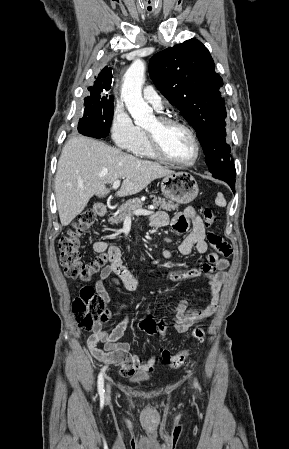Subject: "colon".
<instances>
[{"mask_svg": "<svg viewBox=\"0 0 289 449\" xmlns=\"http://www.w3.org/2000/svg\"><path fill=\"white\" fill-rule=\"evenodd\" d=\"M95 217L96 215L92 210L82 212L73 222L68 234L60 239V262L69 278L85 282L99 274L107 266L109 259L106 254H100L92 261L85 262L82 260L79 250V238L92 226ZM203 221L206 227L212 226L216 221V216L209 207L203 209ZM207 240L217 251L218 254L216 255L228 257L232 254L231 246L219 234L210 232L207 235ZM72 308L79 326L89 331L103 316L105 304L103 298L95 292L94 288L82 285L79 295L73 301ZM139 327L148 335L165 336L168 331L165 323H156L151 316L143 318ZM191 335L193 339L201 341L205 332L201 327H196L192 330ZM189 351L190 348L188 347L177 353H171L169 349L162 347L160 356L166 365L177 368L187 358Z\"/></svg>", "mask_w": 289, "mask_h": 449, "instance_id": "obj_1", "label": "colon"}]
</instances>
